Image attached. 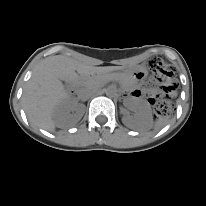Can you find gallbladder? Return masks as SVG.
<instances>
[{
  "label": "gallbladder",
  "instance_id": "obj_1",
  "mask_svg": "<svg viewBox=\"0 0 206 206\" xmlns=\"http://www.w3.org/2000/svg\"><path fill=\"white\" fill-rule=\"evenodd\" d=\"M64 77H65L64 75L61 76V78H64Z\"/></svg>",
  "mask_w": 206,
  "mask_h": 206
}]
</instances>
